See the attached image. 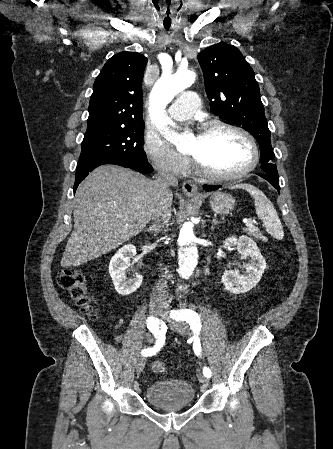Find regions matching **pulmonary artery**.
Returning a JSON list of instances; mask_svg holds the SVG:
<instances>
[{"label": "pulmonary artery", "mask_w": 333, "mask_h": 449, "mask_svg": "<svg viewBox=\"0 0 333 449\" xmlns=\"http://www.w3.org/2000/svg\"><path fill=\"white\" fill-rule=\"evenodd\" d=\"M199 105V97L194 91H185L181 93L168 108V113L175 120H186Z\"/></svg>", "instance_id": "obj_1"}]
</instances>
